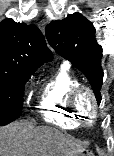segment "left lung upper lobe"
Here are the masks:
<instances>
[{"instance_id": "1", "label": "left lung upper lobe", "mask_w": 114, "mask_h": 156, "mask_svg": "<svg viewBox=\"0 0 114 156\" xmlns=\"http://www.w3.org/2000/svg\"><path fill=\"white\" fill-rule=\"evenodd\" d=\"M45 33L55 51L85 74L100 103L102 47L95 39L93 24L80 13H74L61 21H52Z\"/></svg>"}]
</instances>
